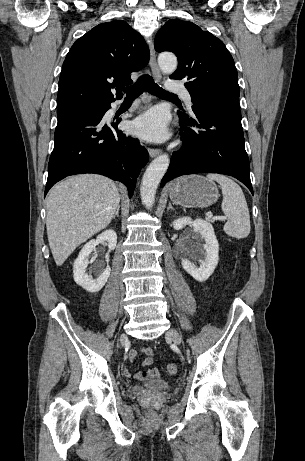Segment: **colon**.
<instances>
[{"instance_id":"1","label":"colon","mask_w":305,"mask_h":461,"mask_svg":"<svg viewBox=\"0 0 305 461\" xmlns=\"http://www.w3.org/2000/svg\"><path fill=\"white\" fill-rule=\"evenodd\" d=\"M177 372H178V369H177V366H176L175 364H168V365L166 366V373H167L168 375L173 376V375H176ZM148 377H149V374H148L147 372H142V373H141V377H140L141 379H144V380H145V379H147Z\"/></svg>"}]
</instances>
